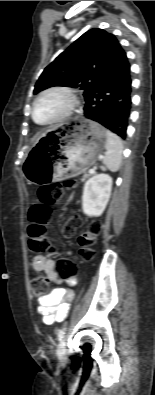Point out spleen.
<instances>
[{
  "instance_id": "3e777b00",
  "label": "spleen",
  "mask_w": 155,
  "mask_h": 395,
  "mask_svg": "<svg viewBox=\"0 0 155 395\" xmlns=\"http://www.w3.org/2000/svg\"><path fill=\"white\" fill-rule=\"evenodd\" d=\"M105 149L103 164L112 172L118 171L122 162L123 144L121 139L109 130L106 131Z\"/></svg>"
}]
</instances>
